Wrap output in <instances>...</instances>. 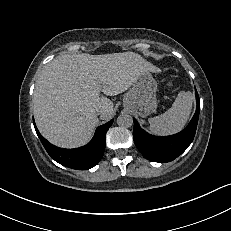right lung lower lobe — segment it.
<instances>
[{"label": "right lung lower lobe", "instance_id": "right-lung-lower-lobe-1", "mask_svg": "<svg viewBox=\"0 0 231 231\" xmlns=\"http://www.w3.org/2000/svg\"><path fill=\"white\" fill-rule=\"evenodd\" d=\"M113 121L114 120L112 119L108 123L99 126L96 129L93 139L87 145L76 149H62L50 144L40 135L38 129L35 126V123L34 127L44 148L52 159H54L59 164L72 169L87 170L96 166L101 160L106 145V132L112 125Z\"/></svg>", "mask_w": 231, "mask_h": 231}]
</instances>
